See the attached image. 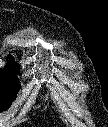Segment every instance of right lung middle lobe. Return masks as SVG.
I'll use <instances>...</instances> for the list:
<instances>
[{
	"instance_id": "obj_1",
	"label": "right lung middle lobe",
	"mask_w": 108,
	"mask_h": 127,
	"mask_svg": "<svg viewBox=\"0 0 108 127\" xmlns=\"http://www.w3.org/2000/svg\"><path fill=\"white\" fill-rule=\"evenodd\" d=\"M19 67L8 65L0 71V111L8 109L20 88L17 74Z\"/></svg>"
}]
</instances>
